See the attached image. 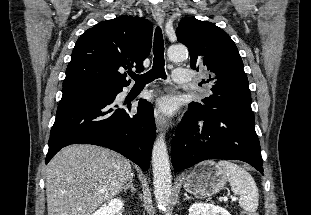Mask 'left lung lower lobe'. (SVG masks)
Returning <instances> with one entry per match:
<instances>
[{"label":"left lung lower lobe","instance_id":"0a47b994","mask_svg":"<svg viewBox=\"0 0 311 215\" xmlns=\"http://www.w3.org/2000/svg\"><path fill=\"white\" fill-rule=\"evenodd\" d=\"M251 109L240 107L189 110L178 124L171 147L176 171L207 159L241 160L263 174L260 143Z\"/></svg>","mask_w":311,"mask_h":215}]
</instances>
